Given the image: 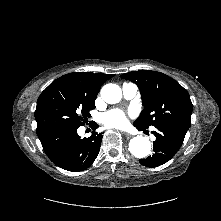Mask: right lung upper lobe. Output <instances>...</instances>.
Listing matches in <instances>:
<instances>
[{
    "mask_svg": "<svg viewBox=\"0 0 221 221\" xmlns=\"http://www.w3.org/2000/svg\"><path fill=\"white\" fill-rule=\"evenodd\" d=\"M113 76L114 74L75 72L61 76L53 82L67 83L87 98L95 101L102 84Z\"/></svg>",
    "mask_w": 221,
    "mask_h": 221,
    "instance_id": "obj_1",
    "label": "right lung upper lobe"
}]
</instances>
